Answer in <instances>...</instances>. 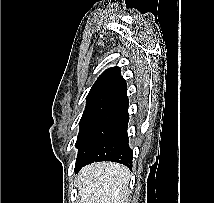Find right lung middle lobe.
I'll return each instance as SVG.
<instances>
[{"mask_svg": "<svg viewBox=\"0 0 214 203\" xmlns=\"http://www.w3.org/2000/svg\"><path fill=\"white\" fill-rule=\"evenodd\" d=\"M115 100L111 98H87L86 107L80 120V131L76 141V147L80 145L87 133Z\"/></svg>", "mask_w": 214, "mask_h": 203, "instance_id": "1", "label": "right lung middle lobe"}]
</instances>
